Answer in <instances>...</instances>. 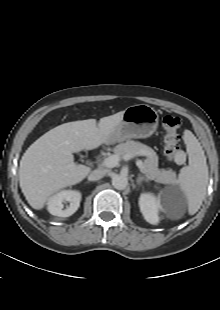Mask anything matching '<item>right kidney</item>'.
Segmentation results:
<instances>
[{"instance_id":"right-kidney-1","label":"right kidney","mask_w":220,"mask_h":310,"mask_svg":"<svg viewBox=\"0 0 220 310\" xmlns=\"http://www.w3.org/2000/svg\"><path fill=\"white\" fill-rule=\"evenodd\" d=\"M81 193L76 190H62L50 197L47 209L50 214L58 217H69L80 206ZM64 203H69L64 209Z\"/></svg>"}]
</instances>
